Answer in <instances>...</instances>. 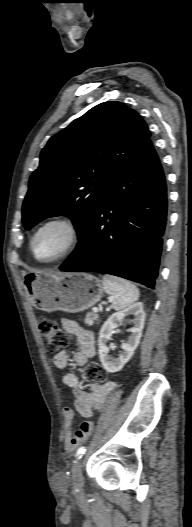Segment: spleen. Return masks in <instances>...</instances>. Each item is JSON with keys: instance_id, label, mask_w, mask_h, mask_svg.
<instances>
[{"instance_id": "obj_1", "label": "spleen", "mask_w": 192, "mask_h": 527, "mask_svg": "<svg viewBox=\"0 0 192 527\" xmlns=\"http://www.w3.org/2000/svg\"><path fill=\"white\" fill-rule=\"evenodd\" d=\"M103 289L112 297L115 310L124 309L139 299L138 288L128 280L112 275L103 276Z\"/></svg>"}]
</instances>
